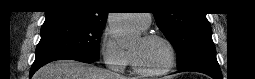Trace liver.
I'll return each mask as SVG.
<instances>
[{"instance_id": "obj_1", "label": "liver", "mask_w": 255, "mask_h": 79, "mask_svg": "<svg viewBox=\"0 0 255 79\" xmlns=\"http://www.w3.org/2000/svg\"><path fill=\"white\" fill-rule=\"evenodd\" d=\"M33 79H127L110 70L76 60H57L40 68Z\"/></svg>"}]
</instances>
